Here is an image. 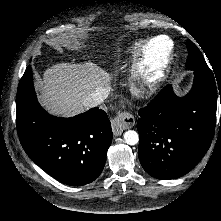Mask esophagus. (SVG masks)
I'll use <instances>...</instances> for the list:
<instances>
[{
  "instance_id": "obj_1",
  "label": "esophagus",
  "mask_w": 221,
  "mask_h": 221,
  "mask_svg": "<svg viewBox=\"0 0 221 221\" xmlns=\"http://www.w3.org/2000/svg\"><path fill=\"white\" fill-rule=\"evenodd\" d=\"M135 124L133 115L128 112H119L111 121L113 134L119 136L125 129L132 128Z\"/></svg>"
}]
</instances>
